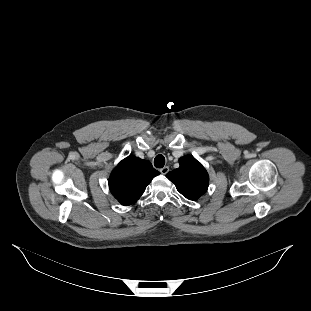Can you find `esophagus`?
<instances>
[{"label": "esophagus", "instance_id": "obj_1", "mask_svg": "<svg viewBox=\"0 0 311 311\" xmlns=\"http://www.w3.org/2000/svg\"><path fill=\"white\" fill-rule=\"evenodd\" d=\"M168 171H169L168 166H164L163 168L160 169L161 174H167Z\"/></svg>", "mask_w": 311, "mask_h": 311}]
</instances>
